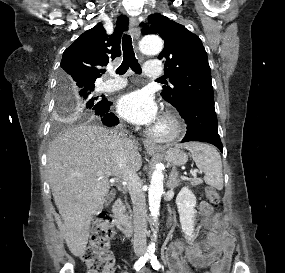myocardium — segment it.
I'll list each match as a JSON object with an SVG mask.
<instances>
[{"label":"myocardium","instance_id":"1","mask_svg":"<svg viewBox=\"0 0 285 273\" xmlns=\"http://www.w3.org/2000/svg\"><path fill=\"white\" fill-rule=\"evenodd\" d=\"M158 122L165 125L166 129L163 132H160L156 127H153L148 131L149 138L155 142L166 143L173 141L183 132V122L179 115L174 111L164 113Z\"/></svg>","mask_w":285,"mask_h":273}]
</instances>
